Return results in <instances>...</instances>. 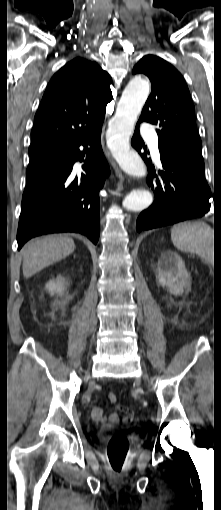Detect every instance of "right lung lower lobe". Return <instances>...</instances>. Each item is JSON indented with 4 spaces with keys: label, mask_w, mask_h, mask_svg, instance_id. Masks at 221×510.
<instances>
[{
    "label": "right lung lower lobe",
    "mask_w": 221,
    "mask_h": 510,
    "mask_svg": "<svg viewBox=\"0 0 221 510\" xmlns=\"http://www.w3.org/2000/svg\"><path fill=\"white\" fill-rule=\"evenodd\" d=\"M101 127L102 123L53 153L30 161L17 231L18 250L33 237L56 232L81 233L97 243L99 191L110 172L100 143ZM76 161L84 162L81 174L73 170Z\"/></svg>",
    "instance_id": "1"
}]
</instances>
